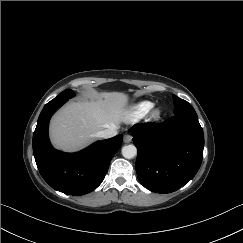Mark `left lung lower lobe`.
I'll use <instances>...</instances> for the list:
<instances>
[{"mask_svg": "<svg viewBox=\"0 0 243 243\" xmlns=\"http://www.w3.org/2000/svg\"><path fill=\"white\" fill-rule=\"evenodd\" d=\"M131 132L138 150L136 173L148 190L174 192L200 168L204 134L198 118L173 115L162 123L134 125Z\"/></svg>", "mask_w": 243, "mask_h": 243, "instance_id": "0a47b994", "label": "left lung lower lobe"}]
</instances>
